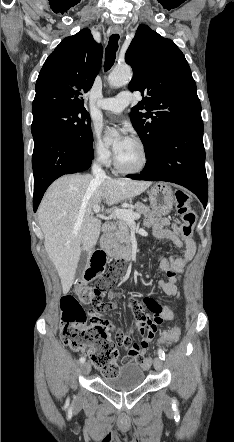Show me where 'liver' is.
<instances>
[{
    "label": "liver",
    "instance_id": "liver-1",
    "mask_svg": "<svg viewBox=\"0 0 234 442\" xmlns=\"http://www.w3.org/2000/svg\"><path fill=\"white\" fill-rule=\"evenodd\" d=\"M151 182L130 179H97L92 175H66L51 184L38 210L46 252L68 293L82 252L97 244L101 222L92 215L102 201L118 204L144 192Z\"/></svg>",
    "mask_w": 234,
    "mask_h": 442
}]
</instances>
